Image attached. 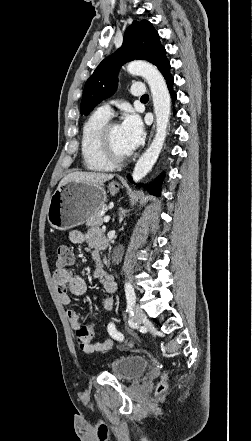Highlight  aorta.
I'll use <instances>...</instances> for the list:
<instances>
[{
  "mask_svg": "<svg viewBox=\"0 0 252 441\" xmlns=\"http://www.w3.org/2000/svg\"><path fill=\"white\" fill-rule=\"evenodd\" d=\"M127 71L134 75H141L146 79L151 90L156 116L155 137L149 148L137 161L132 173L133 180L139 182L152 169L162 150L169 123L171 98L164 77L152 64L144 61H132L128 63Z\"/></svg>",
  "mask_w": 252,
  "mask_h": 441,
  "instance_id": "obj_1",
  "label": "aorta"
}]
</instances>
